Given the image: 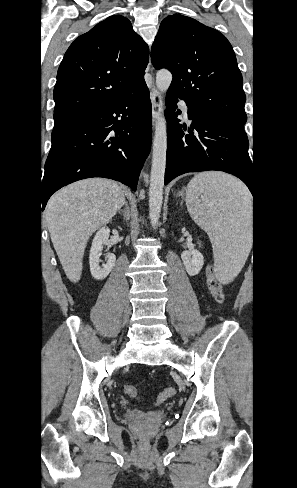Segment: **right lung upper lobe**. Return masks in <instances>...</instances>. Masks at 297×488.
I'll use <instances>...</instances> for the list:
<instances>
[{"instance_id": "1", "label": "right lung upper lobe", "mask_w": 297, "mask_h": 488, "mask_svg": "<svg viewBox=\"0 0 297 488\" xmlns=\"http://www.w3.org/2000/svg\"><path fill=\"white\" fill-rule=\"evenodd\" d=\"M148 56L147 45L121 15L76 38L57 72L53 131L106 107L144 81Z\"/></svg>"}]
</instances>
